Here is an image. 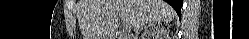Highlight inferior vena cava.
<instances>
[{"label": "inferior vena cava", "mask_w": 249, "mask_h": 39, "mask_svg": "<svg viewBox=\"0 0 249 39\" xmlns=\"http://www.w3.org/2000/svg\"><path fill=\"white\" fill-rule=\"evenodd\" d=\"M140 27L142 26L140 25V22L138 21L136 25L134 26V31L137 32V30H139Z\"/></svg>", "instance_id": "obj_1"}]
</instances>
